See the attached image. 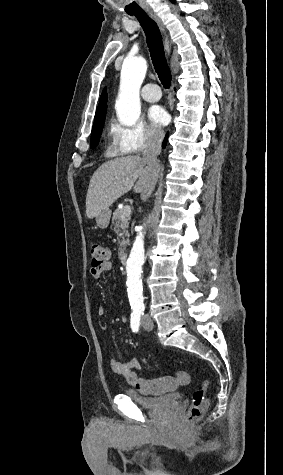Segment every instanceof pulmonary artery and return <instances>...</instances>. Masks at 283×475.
<instances>
[{
	"label": "pulmonary artery",
	"instance_id": "1",
	"mask_svg": "<svg viewBox=\"0 0 283 475\" xmlns=\"http://www.w3.org/2000/svg\"><path fill=\"white\" fill-rule=\"evenodd\" d=\"M121 90H140V89H121ZM143 99L148 102H157L160 98L157 97L161 94V89L155 83L148 84L143 89Z\"/></svg>",
	"mask_w": 283,
	"mask_h": 475
}]
</instances>
